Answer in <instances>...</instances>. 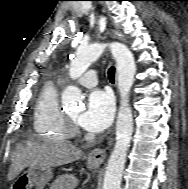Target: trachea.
<instances>
[{
    "label": "trachea",
    "mask_w": 188,
    "mask_h": 189,
    "mask_svg": "<svg viewBox=\"0 0 188 189\" xmlns=\"http://www.w3.org/2000/svg\"><path fill=\"white\" fill-rule=\"evenodd\" d=\"M108 78L111 82H114L115 80V68L113 66L108 70Z\"/></svg>",
    "instance_id": "trachea-1"
}]
</instances>
